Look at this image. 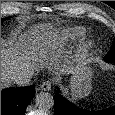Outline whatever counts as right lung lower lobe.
<instances>
[{"mask_svg": "<svg viewBox=\"0 0 115 115\" xmlns=\"http://www.w3.org/2000/svg\"><path fill=\"white\" fill-rule=\"evenodd\" d=\"M34 95V86L7 88L1 91V115H24Z\"/></svg>", "mask_w": 115, "mask_h": 115, "instance_id": "98d812e1", "label": "right lung lower lobe"}]
</instances>
